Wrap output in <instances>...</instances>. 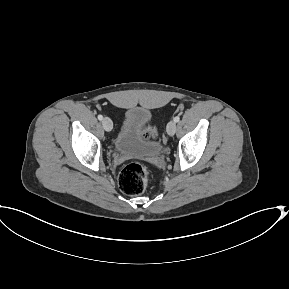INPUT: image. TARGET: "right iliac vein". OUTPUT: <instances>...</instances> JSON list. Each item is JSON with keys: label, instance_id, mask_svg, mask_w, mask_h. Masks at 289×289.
<instances>
[{"label": "right iliac vein", "instance_id": "obj_1", "mask_svg": "<svg viewBox=\"0 0 289 289\" xmlns=\"http://www.w3.org/2000/svg\"><path fill=\"white\" fill-rule=\"evenodd\" d=\"M102 125H103V128L106 130V131H111L112 128H113V123H112V120L108 117H105L103 120H102Z\"/></svg>", "mask_w": 289, "mask_h": 289}]
</instances>
